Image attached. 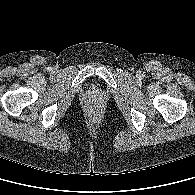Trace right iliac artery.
<instances>
[{"mask_svg":"<svg viewBox=\"0 0 195 195\" xmlns=\"http://www.w3.org/2000/svg\"><path fill=\"white\" fill-rule=\"evenodd\" d=\"M48 70H49V71H51V70H52V68H51V67H49V68H48Z\"/></svg>","mask_w":195,"mask_h":195,"instance_id":"obj_1","label":"right iliac artery"}]
</instances>
